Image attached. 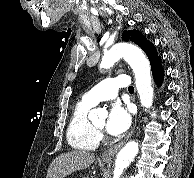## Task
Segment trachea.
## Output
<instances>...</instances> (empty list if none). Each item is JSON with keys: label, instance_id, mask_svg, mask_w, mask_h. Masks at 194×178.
Returning <instances> with one entry per match:
<instances>
[{"label": "trachea", "instance_id": "trachea-1", "mask_svg": "<svg viewBox=\"0 0 194 178\" xmlns=\"http://www.w3.org/2000/svg\"><path fill=\"white\" fill-rule=\"evenodd\" d=\"M128 91H129V92H134L133 86H129V87H128Z\"/></svg>", "mask_w": 194, "mask_h": 178}]
</instances>
